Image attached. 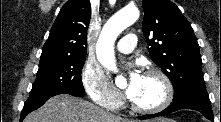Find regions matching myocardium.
<instances>
[{
    "mask_svg": "<svg viewBox=\"0 0 221 122\" xmlns=\"http://www.w3.org/2000/svg\"><path fill=\"white\" fill-rule=\"evenodd\" d=\"M143 76L156 77L160 80L163 89L164 95L162 100L151 107H142L134 103L131 99H129L130 107L137 113L140 114H154L163 111L166 109L172 102L174 96V88L169 77L160 69L152 68L148 69L144 72Z\"/></svg>",
    "mask_w": 221,
    "mask_h": 122,
    "instance_id": "1",
    "label": "myocardium"
}]
</instances>
